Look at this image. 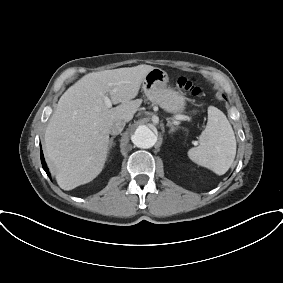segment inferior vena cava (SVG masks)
Listing matches in <instances>:
<instances>
[{
  "label": "inferior vena cava",
  "mask_w": 283,
  "mask_h": 283,
  "mask_svg": "<svg viewBox=\"0 0 283 283\" xmlns=\"http://www.w3.org/2000/svg\"><path fill=\"white\" fill-rule=\"evenodd\" d=\"M126 122L123 120H118L115 123H113L110 127V134L112 135H118L121 133L125 127Z\"/></svg>",
  "instance_id": "obj_1"
}]
</instances>
